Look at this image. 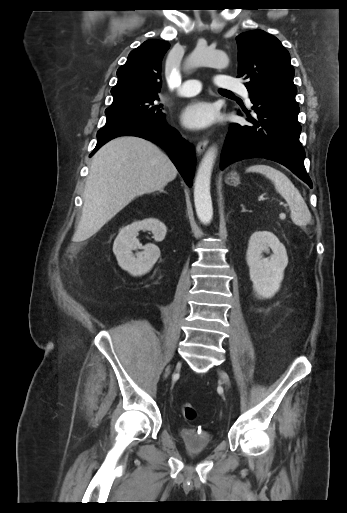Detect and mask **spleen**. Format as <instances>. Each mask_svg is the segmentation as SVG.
<instances>
[{"label":"spleen","mask_w":347,"mask_h":513,"mask_svg":"<svg viewBox=\"0 0 347 513\" xmlns=\"http://www.w3.org/2000/svg\"><path fill=\"white\" fill-rule=\"evenodd\" d=\"M247 172H256L269 178L276 191L287 201L291 212V219L299 226H306L311 220V213L299 190L292 181L280 170L267 165L255 164L247 169Z\"/></svg>","instance_id":"1"}]
</instances>
